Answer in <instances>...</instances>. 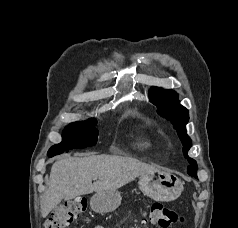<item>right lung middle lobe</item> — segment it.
Returning a JSON list of instances; mask_svg holds the SVG:
<instances>
[{"instance_id":"1","label":"right lung middle lobe","mask_w":238,"mask_h":228,"mask_svg":"<svg viewBox=\"0 0 238 228\" xmlns=\"http://www.w3.org/2000/svg\"><path fill=\"white\" fill-rule=\"evenodd\" d=\"M96 120L74 122L63 131L62 142L52 146L48 155H58L71 149L94 146L98 140V130L94 127Z\"/></svg>"}]
</instances>
